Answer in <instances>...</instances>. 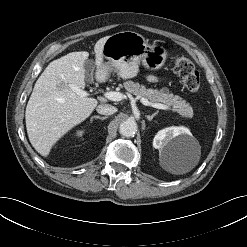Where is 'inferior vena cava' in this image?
<instances>
[{
  "instance_id": "inferior-vena-cava-1",
  "label": "inferior vena cava",
  "mask_w": 247,
  "mask_h": 247,
  "mask_svg": "<svg viewBox=\"0 0 247 247\" xmlns=\"http://www.w3.org/2000/svg\"><path fill=\"white\" fill-rule=\"evenodd\" d=\"M96 110L102 115H112L117 111V108L109 104H101L98 105Z\"/></svg>"
}]
</instances>
